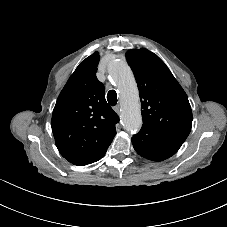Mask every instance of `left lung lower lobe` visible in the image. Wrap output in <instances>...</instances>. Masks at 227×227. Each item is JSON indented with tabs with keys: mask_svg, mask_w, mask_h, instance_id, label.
Masks as SVG:
<instances>
[{
	"mask_svg": "<svg viewBox=\"0 0 227 227\" xmlns=\"http://www.w3.org/2000/svg\"><path fill=\"white\" fill-rule=\"evenodd\" d=\"M132 144L142 157L163 161L174 155L183 143L153 129L142 127L139 133L132 137Z\"/></svg>",
	"mask_w": 227,
	"mask_h": 227,
	"instance_id": "1",
	"label": "left lung lower lobe"
}]
</instances>
